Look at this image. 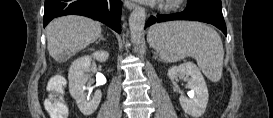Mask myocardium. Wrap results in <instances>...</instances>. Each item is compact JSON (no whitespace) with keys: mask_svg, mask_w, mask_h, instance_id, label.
Instances as JSON below:
<instances>
[{"mask_svg":"<svg viewBox=\"0 0 273 118\" xmlns=\"http://www.w3.org/2000/svg\"><path fill=\"white\" fill-rule=\"evenodd\" d=\"M181 0H166L164 8L165 9H170L176 7V5L180 2Z\"/></svg>","mask_w":273,"mask_h":118,"instance_id":"myocardium-1","label":"myocardium"}]
</instances>
